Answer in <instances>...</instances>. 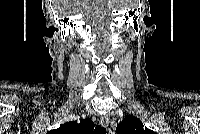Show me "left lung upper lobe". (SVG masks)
<instances>
[{
    "instance_id": "obj_1",
    "label": "left lung upper lobe",
    "mask_w": 200,
    "mask_h": 134,
    "mask_svg": "<svg viewBox=\"0 0 200 134\" xmlns=\"http://www.w3.org/2000/svg\"><path fill=\"white\" fill-rule=\"evenodd\" d=\"M117 134H155L144 128L143 123L133 115L126 116L117 127Z\"/></svg>"
}]
</instances>
